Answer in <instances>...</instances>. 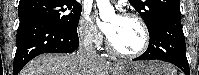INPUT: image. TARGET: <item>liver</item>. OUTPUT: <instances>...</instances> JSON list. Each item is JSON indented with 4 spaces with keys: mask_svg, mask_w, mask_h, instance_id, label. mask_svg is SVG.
Returning <instances> with one entry per match:
<instances>
[{
    "mask_svg": "<svg viewBox=\"0 0 199 75\" xmlns=\"http://www.w3.org/2000/svg\"><path fill=\"white\" fill-rule=\"evenodd\" d=\"M169 68L164 70L169 73ZM112 66L81 51L73 54H43L30 61L19 75H110ZM175 75V71H172Z\"/></svg>",
    "mask_w": 199,
    "mask_h": 75,
    "instance_id": "6515ba94",
    "label": "liver"
}]
</instances>
